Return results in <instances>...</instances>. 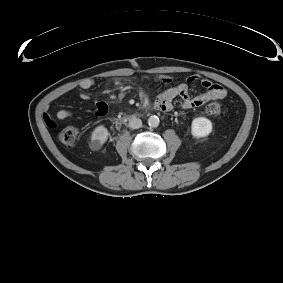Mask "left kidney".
Masks as SVG:
<instances>
[{"label": "left kidney", "mask_w": 283, "mask_h": 283, "mask_svg": "<svg viewBox=\"0 0 283 283\" xmlns=\"http://www.w3.org/2000/svg\"><path fill=\"white\" fill-rule=\"evenodd\" d=\"M212 132V122L205 117H197L192 121L191 133L196 138L206 137Z\"/></svg>", "instance_id": "obj_1"}]
</instances>
